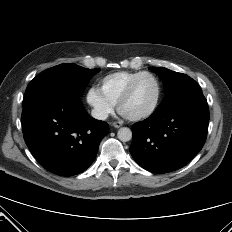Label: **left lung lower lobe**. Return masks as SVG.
Returning a JSON list of instances; mask_svg holds the SVG:
<instances>
[{
    "label": "left lung lower lobe",
    "mask_w": 232,
    "mask_h": 232,
    "mask_svg": "<svg viewBox=\"0 0 232 232\" xmlns=\"http://www.w3.org/2000/svg\"><path fill=\"white\" fill-rule=\"evenodd\" d=\"M208 122L209 110L202 90L188 92L133 125L131 155L150 172L180 169L202 149Z\"/></svg>",
    "instance_id": "0a47b994"
}]
</instances>
